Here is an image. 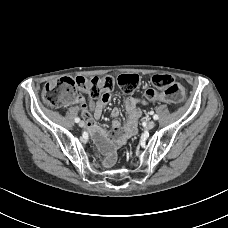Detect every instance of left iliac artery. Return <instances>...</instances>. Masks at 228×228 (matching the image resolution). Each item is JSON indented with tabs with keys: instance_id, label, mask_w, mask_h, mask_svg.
<instances>
[{
	"instance_id": "obj_1",
	"label": "left iliac artery",
	"mask_w": 228,
	"mask_h": 228,
	"mask_svg": "<svg viewBox=\"0 0 228 228\" xmlns=\"http://www.w3.org/2000/svg\"><path fill=\"white\" fill-rule=\"evenodd\" d=\"M153 119H154V120H157V119H158V115H154V116H153Z\"/></svg>"
}]
</instances>
